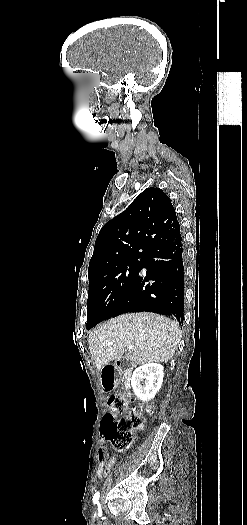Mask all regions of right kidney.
I'll return each mask as SVG.
<instances>
[{"label":"right kidney","instance_id":"1","mask_svg":"<svg viewBox=\"0 0 247 525\" xmlns=\"http://www.w3.org/2000/svg\"><path fill=\"white\" fill-rule=\"evenodd\" d=\"M163 365L147 363L137 367L132 373L131 387L139 401H152L161 389L164 377Z\"/></svg>","mask_w":247,"mask_h":525}]
</instances>
